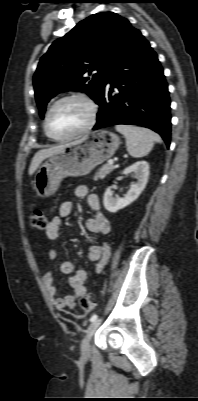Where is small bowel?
Returning <instances> with one entry per match:
<instances>
[{
	"label": "small bowel",
	"instance_id": "1",
	"mask_svg": "<svg viewBox=\"0 0 198 401\" xmlns=\"http://www.w3.org/2000/svg\"><path fill=\"white\" fill-rule=\"evenodd\" d=\"M74 194L78 198H87L89 208L93 212V216L86 221V229L91 234H108L110 232V221L102 214L100 200L96 194H89L88 189L84 185L75 187ZM73 210L71 202H63L59 206L58 215L48 223L46 227V236L50 241H58L60 238V228L62 220L68 217ZM111 254L108 243L101 245L91 244L87 248V256L90 261L96 262L95 271L99 274L106 265ZM51 260L57 258L58 251L53 249L49 252ZM60 271L63 274L70 275V285L73 293L69 295H59L55 286V278L53 272H46L42 281L51 297L52 303L57 310L72 309L75 307L77 299L86 292L87 272L84 269L74 270L73 263L69 260H63L60 263Z\"/></svg>",
	"mask_w": 198,
	"mask_h": 401
}]
</instances>
